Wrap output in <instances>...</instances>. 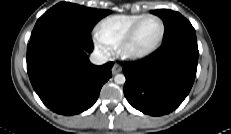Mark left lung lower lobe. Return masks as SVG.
Returning a JSON list of instances; mask_svg holds the SVG:
<instances>
[{
	"instance_id": "left-lung-lower-lobe-1",
	"label": "left lung lower lobe",
	"mask_w": 231,
	"mask_h": 134,
	"mask_svg": "<svg viewBox=\"0 0 231 134\" xmlns=\"http://www.w3.org/2000/svg\"><path fill=\"white\" fill-rule=\"evenodd\" d=\"M195 33L170 38L145 60L126 63L124 94L137 110L160 116L175 110L190 92L196 76Z\"/></svg>"
}]
</instances>
